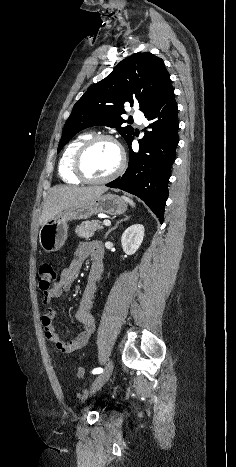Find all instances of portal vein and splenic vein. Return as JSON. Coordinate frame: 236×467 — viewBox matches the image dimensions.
Listing matches in <instances>:
<instances>
[{"label":"portal vein and splenic vein","instance_id":"obj_1","mask_svg":"<svg viewBox=\"0 0 236 467\" xmlns=\"http://www.w3.org/2000/svg\"><path fill=\"white\" fill-rule=\"evenodd\" d=\"M103 224H104L105 226H110V225H111V222H110L109 220H104V221H103Z\"/></svg>","mask_w":236,"mask_h":467}]
</instances>
